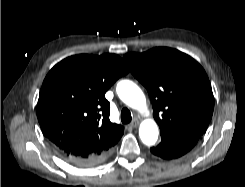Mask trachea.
<instances>
[{"mask_svg":"<svg viewBox=\"0 0 245 187\" xmlns=\"http://www.w3.org/2000/svg\"><path fill=\"white\" fill-rule=\"evenodd\" d=\"M120 118L122 123H129L132 119L130 111L127 108H123L121 111Z\"/></svg>","mask_w":245,"mask_h":187,"instance_id":"obj_1","label":"trachea"}]
</instances>
